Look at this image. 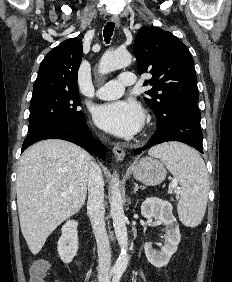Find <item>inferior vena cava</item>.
<instances>
[{"mask_svg": "<svg viewBox=\"0 0 232 282\" xmlns=\"http://www.w3.org/2000/svg\"><path fill=\"white\" fill-rule=\"evenodd\" d=\"M87 185V212L98 250V278L100 281L107 282L110 273L111 252L104 220V181L100 167L93 162L90 163Z\"/></svg>", "mask_w": 232, "mask_h": 282, "instance_id": "1", "label": "inferior vena cava"}]
</instances>
